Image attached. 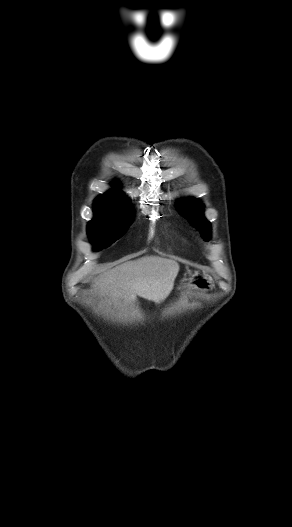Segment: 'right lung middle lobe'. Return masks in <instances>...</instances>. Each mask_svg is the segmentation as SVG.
Listing matches in <instances>:
<instances>
[{
	"label": "right lung middle lobe",
	"instance_id": "right-lung-middle-lobe-1",
	"mask_svg": "<svg viewBox=\"0 0 292 527\" xmlns=\"http://www.w3.org/2000/svg\"><path fill=\"white\" fill-rule=\"evenodd\" d=\"M94 219L87 230L89 239L98 249L104 248L119 239L127 230L131 220V207L94 202Z\"/></svg>",
	"mask_w": 292,
	"mask_h": 527
}]
</instances>
